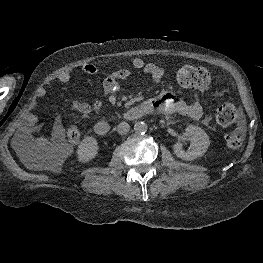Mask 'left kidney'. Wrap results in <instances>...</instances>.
Returning <instances> with one entry per match:
<instances>
[{
	"label": "left kidney",
	"mask_w": 263,
	"mask_h": 263,
	"mask_svg": "<svg viewBox=\"0 0 263 263\" xmlns=\"http://www.w3.org/2000/svg\"><path fill=\"white\" fill-rule=\"evenodd\" d=\"M184 140L190 141V149L185 151L183 143L177 142L173 146L174 153L183 160H194L201 157L210 146V140L207 133L198 126L189 125L185 129Z\"/></svg>",
	"instance_id": "5707ae66"
}]
</instances>
